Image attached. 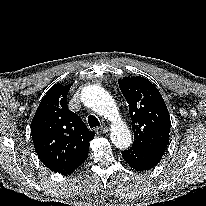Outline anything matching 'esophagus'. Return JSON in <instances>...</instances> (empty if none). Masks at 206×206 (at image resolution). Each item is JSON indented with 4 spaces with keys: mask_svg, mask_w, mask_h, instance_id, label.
<instances>
[{
    "mask_svg": "<svg viewBox=\"0 0 206 206\" xmlns=\"http://www.w3.org/2000/svg\"><path fill=\"white\" fill-rule=\"evenodd\" d=\"M93 130L96 133H106L108 131V128H107L106 125L102 124V125H100L98 127H95Z\"/></svg>",
    "mask_w": 206,
    "mask_h": 206,
    "instance_id": "obj_1",
    "label": "esophagus"
}]
</instances>
